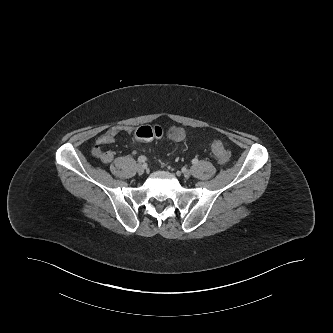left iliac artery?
I'll use <instances>...</instances> for the list:
<instances>
[{
    "instance_id": "1",
    "label": "left iliac artery",
    "mask_w": 333,
    "mask_h": 333,
    "mask_svg": "<svg viewBox=\"0 0 333 333\" xmlns=\"http://www.w3.org/2000/svg\"><path fill=\"white\" fill-rule=\"evenodd\" d=\"M198 163V159L197 158H194L193 160H192V164H197Z\"/></svg>"
}]
</instances>
